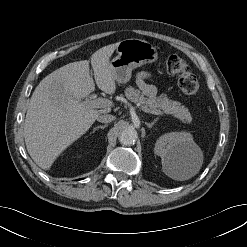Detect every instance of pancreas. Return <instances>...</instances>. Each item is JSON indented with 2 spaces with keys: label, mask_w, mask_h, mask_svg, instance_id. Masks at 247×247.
Segmentation results:
<instances>
[{
  "label": "pancreas",
  "mask_w": 247,
  "mask_h": 247,
  "mask_svg": "<svg viewBox=\"0 0 247 247\" xmlns=\"http://www.w3.org/2000/svg\"><path fill=\"white\" fill-rule=\"evenodd\" d=\"M125 96L131 102L140 104L150 110H162L166 114H172L183 123H190L192 120L188 109L181 105L180 102L168 99L166 94H161L158 97L146 98L140 90L129 86L125 89Z\"/></svg>",
  "instance_id": "1"
}]
</instances>
